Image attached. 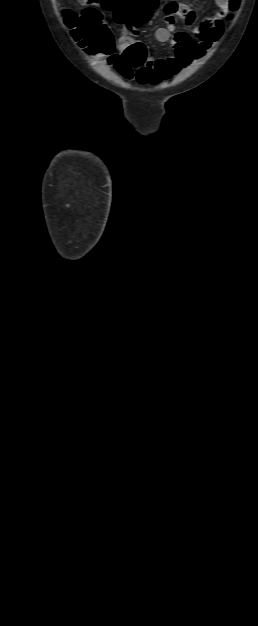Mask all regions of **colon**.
<instances>
[{
  "instance_id": "obj_1",
  "label": "colon",
  "mask_w": 258,
  "mask_h": 626,
  "mask_svg": "<svg viewBox=\"0 0 258 626\" xmlns=\"http://www.w3.org/2000/svg\"><path fill=\"white\" fill-rule=\"evenodd\" d=\"M88 5L80 13L66 11L65 21L79 45L90 53L108 55L114 52V40L109 28L103 23L99 9L114 10L117 21L129 27L144 24L158 5L159 0H80ZM239 0H229V10L235 11ZM125 58L133 66H140L146 60L145 49L141 44L130 46Z\"/></svg>"
}]
</instances>
